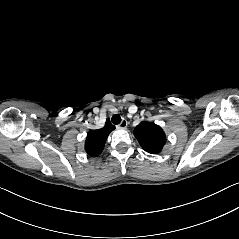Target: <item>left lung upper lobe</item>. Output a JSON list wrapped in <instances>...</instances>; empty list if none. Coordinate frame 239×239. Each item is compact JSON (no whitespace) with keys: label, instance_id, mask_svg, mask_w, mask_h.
Segmentation results:
<instances>
[{"label":"left lung upper lobe","instance_id":"5c2ea615","mask_svg":"<svg viewBox=\"0 0 239 239\" xmlns=\"http://www.w3.org/2000/svg\"><path fill=\"white\" fill-rule=\"evenodd\" d=\"M134 136L137 138L141 147L151 154L161 152L166 142V136L162 128L147 121H143L135 127Z\"/></svg>","mask_w":239,"mask_h":239}]
</instances>
